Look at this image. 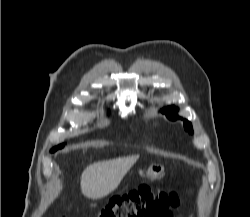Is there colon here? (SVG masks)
Segmentation results:
<instances>
[{"instance_id":"obj_1","label":"colon","mask_w":250,"mask_h":217,"mask_svg":"<svg viewBox=\"0 0 250 217\" xmlns=\"http://www.w3.org/2000/svg\"><path fill=\"white\" fill-rule=\"evenodd\" d=\"M180 202L181 198L175 192L141 185L114 197L98 217H173L170 209L179 206Z\"/></svg>"}]
</instances>
